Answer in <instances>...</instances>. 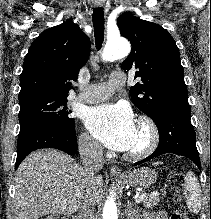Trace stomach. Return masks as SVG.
I'll list each match as a JSON object with an SVG mask.
<instances>
[{
    "mask_svg": "<svg viewBox=\"0 0 211 219\" xmlns=\"http://www.w3.org/2000/svg\"><path fill=\"white\" fill-rule=\"evenodd\" d=\"M156 178L157 174L154 170L138 168L128 174L126 183L134 188H148L155 183Z\"/></svg>",
    "mask_w": 211,
    "mask_h": 219,
    "instance_id": "1",
    "label": "stomach"
}]
</instances>
